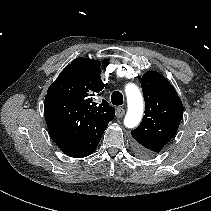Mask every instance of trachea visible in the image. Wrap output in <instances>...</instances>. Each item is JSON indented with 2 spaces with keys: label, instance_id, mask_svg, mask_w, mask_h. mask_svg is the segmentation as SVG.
Instances as JSON below:
<instances>
[{
  "label": "trachea",
  "instance_id": "trachea-1",
  "mask_svg": "<svg viewBox=\"0 0 211 211\" xmlns=\"http://www.w3.org/2000/svg\"><path fill=\"white\" fill-rule=\"evenodd\" d=\"M111 102L116 106L122 105L124 103L122 93L119 91H114L111 95Z\"/></svg>",
  "mask_w": 211,
  "mask_h": 211
}]
</instances>
